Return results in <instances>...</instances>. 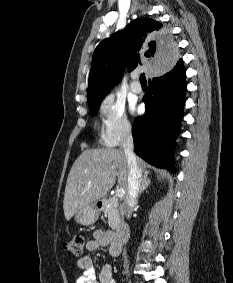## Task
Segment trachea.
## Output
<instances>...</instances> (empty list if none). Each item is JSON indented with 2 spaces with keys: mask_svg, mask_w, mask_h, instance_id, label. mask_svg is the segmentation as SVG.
<instances>
[{
  "mask_svg": "<svg viewBox=\"0 0 233 283\" xmlns=\"http://www.w3.org/2000/svg\"><path fill=\"white\" fill-rule=\"evenodd\" d=\"M140 82L143 84H145V83H147V81H146V77H145V74L144 73H142L141 75H140Z\"/></svg>",
  "mask_w": 233,
  "mask_h": 283,
  "instance_id": "trachea-1",
  "label": "trachea"
}]
</instances>
